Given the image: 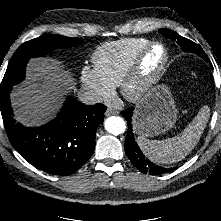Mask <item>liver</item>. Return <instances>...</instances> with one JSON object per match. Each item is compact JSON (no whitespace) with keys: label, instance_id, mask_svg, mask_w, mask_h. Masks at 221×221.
<instances>
[{"label":"liver","instance_id":"1","mask_svg":"<svg viewBox=\"0 0 221 221\" xmlns=\"http://www.w3.org/2000/svg\"><path fill=\"white\" fill-rule=\"evenodd\" d=\"M74 81L60 63L51 58L32 59L27 80L11 94L16 117L24 125H39L55 115Z\"/></svg>","mask_w":221,"mask_h":221}]
</instances>
